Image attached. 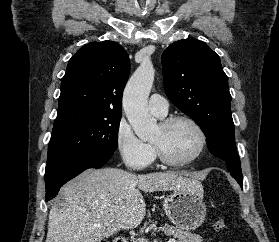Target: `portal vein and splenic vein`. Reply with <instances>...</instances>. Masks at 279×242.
Instances as JSON below:
<instances>
[{
	"label": "portal vein and splenic vein",
	"instance_id": "obj_1",
	"mask_svg": "<svg viewBox=\"0 0 279 242\" xmlns=\"http://www.w3.org/2000/svg\"><path fill=\"white\" fill-rule=\"evenodd\" d=\"M98 226H100V225H98ZM169 242H176L174 239H172V240H169Z\"/></svg>",
	"mask_w": 279,
	"mask_h": 242
}]
</instances>
